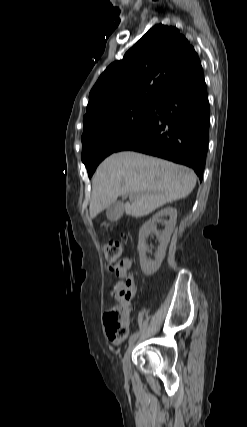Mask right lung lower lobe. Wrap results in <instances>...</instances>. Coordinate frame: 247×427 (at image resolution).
<instances>
[{
    "label": "right lung lower lobe",
    "instance_id": "1",
    "mask_svg": "<svg viewBox=\"0 0 247 427\" xmlns=\"http://www.w3.org/2000/svg\"><path fill=\"white\" fill-rule=\"evenodd\" d=\"M150 122L118 151L132 150L191 167L203 179L209 141V101L203 73L173 90Z\"/></svg>",
    "mask_w": 247,
    "mask_h": 427
}]
</instances>
